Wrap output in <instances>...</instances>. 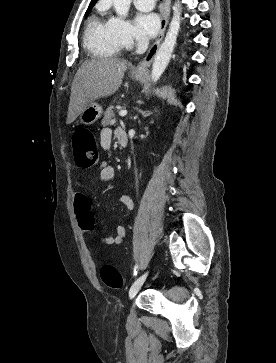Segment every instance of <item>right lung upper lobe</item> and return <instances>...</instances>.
Instances as JSON below:
<instances>
[{
    "mask_svg": "<svg viewBox=\"0 0 276 363\" xmlns=\"http://www.w3.org/2000/svg\"><path fill=\"white\" fill-rule=\"evenodd\" d=\"M97 2V0H91V3L89 5V7H93L95 5V3Z\"/></svg>",
    "mask_w": 276,
    "mask_h": 363,
    "instance_id": "cb5924a9",
    "label": "right lung upper lobe"
}]
</instances>
